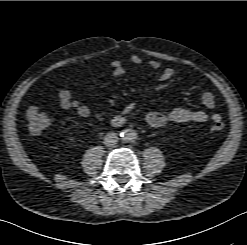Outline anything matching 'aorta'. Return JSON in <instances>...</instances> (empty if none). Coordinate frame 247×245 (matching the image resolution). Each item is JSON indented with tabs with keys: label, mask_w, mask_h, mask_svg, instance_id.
I'll use <instances>...</instances> for the list:
<instances>
[{
	"label": "aorta",
	"mask_w": 247,
	"mask_h": 245,
	"mask_svg": "<svg viewBox=\"0 0 247 245\" xmlns=\"http://www.w3.org/2000/svg\"><path fill=\"white\" fill-rule=\"evenodd\" d=\"M121 137L125 141L133 142L137 139V133L133 129H125L121 132Z\"/></svg>",
	"instance_id": "762f6f07"
}]
</instances>
